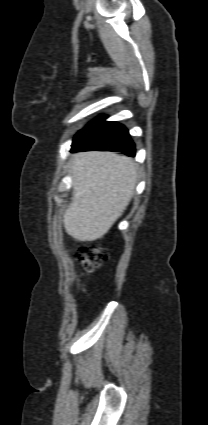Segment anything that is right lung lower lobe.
Instances as JSON below:
<instances>
[{
    "label": "right lung lower lobe",
    "mask_w": 208,
    "mask_h": 425,
    "mask_svg": "<svg viewBox=\"0 0 208 425\" xmlns=\"http://www.w3.org/2000/svg\"><path fill=\"white\" fill-rule=\"evenodd\" d=\"M98 117L75 136L71 152L101 150L123 152L135 156V145L130 139L128 130L116 122H106Z\"/></svg>",
    "instance_id": "obj_1"
}]
</instances>
